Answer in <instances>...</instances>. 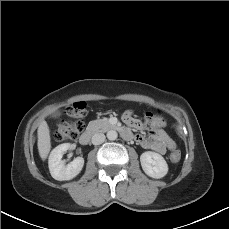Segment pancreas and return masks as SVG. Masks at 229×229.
<instances>
[{
  "label": "pancreas",
  "instance_id": "1",
  "mask_svg": "<svg viewBox=\"0 0 229 229\" xmlns=\"http://www.w3.org/2000/svg\"><path fill=\"white\" fill-rule=\"evenodd\" d=\"M110 128H112V125L107 118L91 121L88 125L89 130L96 132H105Z\"/></svg>",
  "mask_w": 229,
  "mask_h": 229
}]
</instances>
